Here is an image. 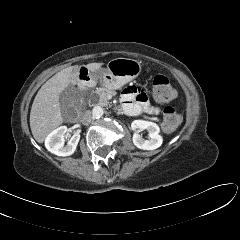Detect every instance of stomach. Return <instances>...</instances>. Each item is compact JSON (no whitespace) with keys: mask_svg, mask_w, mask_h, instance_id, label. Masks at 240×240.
I'll return each mask as SVG.
<instances>
[{"mask_svg":"<svg viewBox=\"0 0 240 240\" xmlns=\"http://www.w3.org/2000/svg\"><path fill=\"white\" fill-rule=\"evenodd\" d=\"M141 69V62L138 60L116 58L111 60L106 68H100L96 72H92L90 76L107 89L115 90L135 79Z\"/></svg>","mask_w":240,"mask_h":240,"instance_id":"0dacf381","label":"stomach"}]
</instances>
